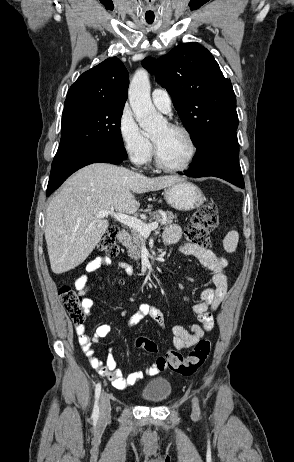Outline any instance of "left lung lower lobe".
<instances>
[{
  "label": "left lung lower lobe",
  "instance_id": "left-lung-lower-lobe-1",
  "mask_svg": "<svg viewBox=\"0 0 294 462\" xmlns=\"http://www.w3.org/2000/svg\"><path fill=\"white\" fill-rule=\"evenodd\" d=\"M197 152L190 168L183 175L219 177L244 188V180L238 163L239 145L236 130H230L211 142L199 146Z\"/></svg>",
  "mask_w": 294,
  "mask_h": 462
}]
</instances>
